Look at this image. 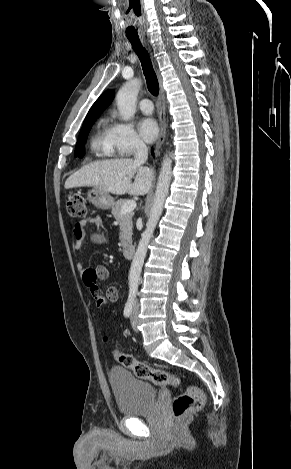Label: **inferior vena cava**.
I'll return each instance as SVG.
<instances>
[{
    "instance_id": "1",
    "label": "inferior vena cava",
    "mask_w": 291,
    "mask_h": 469,
    "mask_svg": "<svg viewBox=\"0 0 291 469\" xmlns=\"http://www.w3.org/2000/svg\"><path fill=\"white\" fill-rule=\"evenodd\" d=\"M135 161L138 163H144L148 158V148L141 139H136L134 147ZM137 305V302H134Z\"/></svg>"
}]
</instances>
